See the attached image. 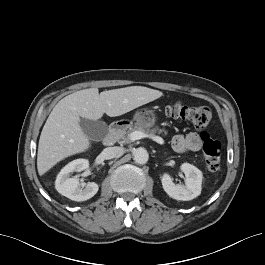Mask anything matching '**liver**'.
<instances>
[{
	"mask_svg": "<svg viewBox=\"0 0 265 265\" xmlns=\"http://www.w3.org/2000/svg\"><path fill=\"white\" fill-rule=\"evenodd\" d=\"M163 95L143 86L103 91L89 88L61 99L50 113L40 135L37 169L40 176L63 159L85 152L91 146L80 126L81 118L97 121L104 113L120 116Z\"/></svg>",
	"mask_w": 265,
	"mask_h": 265,
	"instance_id": "obj_1",
	"label": "liver"
}]
</instances>
